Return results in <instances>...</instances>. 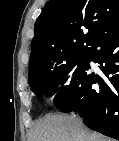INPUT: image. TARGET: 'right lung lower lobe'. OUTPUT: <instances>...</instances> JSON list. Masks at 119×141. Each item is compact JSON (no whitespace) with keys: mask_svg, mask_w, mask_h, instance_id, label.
<instances>
[{"mask_svg":"<svg viewBox=\"0 0 119 141\" xmlns=\"http://www.w3.org/2000/svg\"><path fill=\"white\" fill-rule=\"evenodd\" d=\"M87 57L100 65L103 78L88 68L70 99L57 108L78 112L87 127L119 140V19L106 27Z\"/></svg>","mask_w":119,"mask_h":141,"instance_id":"98d812e1","label":"right lung lower lobe"}]
</instances>
